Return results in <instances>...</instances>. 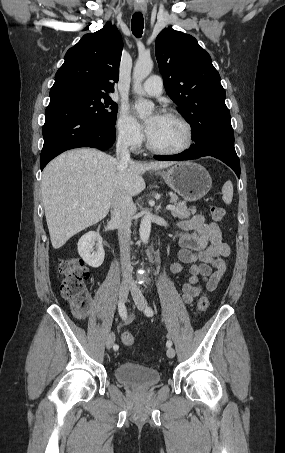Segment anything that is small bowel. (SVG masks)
<instances>
[{
	"instance_id": "obj_1",
	"label": "small bowel",
	"mask_w": 285,
	"mask_h": 453,
	"mask_svg": "<svg viewBox=\"0 0 285 453\" xmlns=\"http://www.w3.org/2000/svg\"><path fill=\"white\" fill-rule=\"evenodd\" d=\"M180 250L179 262H174L170 270L174 274L182 273L188 267L189 276L182 286V298L191 304L200 294L203 286L213 291L227 272L226 258L230 254L229 246L223 242L219 226L215 222H206L202 215L177 223ZM199 281L203 282L198 285ZM134 319L128 314L123 324Z\"/></svg>"
}]
</instances>
